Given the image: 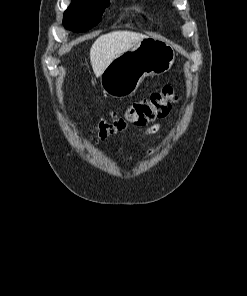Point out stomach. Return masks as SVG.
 <instances>
[{"label": "stomach", "instance_id": "0dacf381", "mask_svg": "<svg viewBox=\"0 0 247 296\" xmlns=\"http://www.w3.org/2000/svg\"><path fill=\"white\" fill-rule=\"evenodd\" d=\"M174 59L171 45L147 36L108 65L100 76L101 87L111 97L130 96L145 77L169 71Z\"/></svg>", "mask_w": 247, "mask_h": 296}]
</instances>
